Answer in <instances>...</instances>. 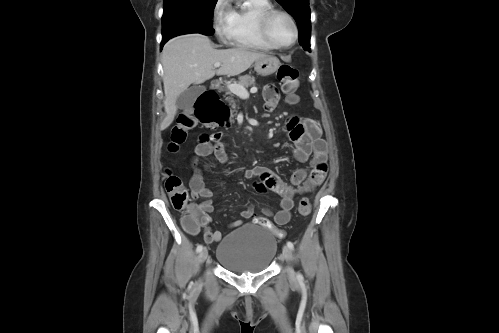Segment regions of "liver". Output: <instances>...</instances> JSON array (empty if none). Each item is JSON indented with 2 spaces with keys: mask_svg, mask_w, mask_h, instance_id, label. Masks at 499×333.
<instances>
[{
  "mask_svg": "<svg viewBox=\"0 0 499 333\" xmlns=\"http://www.w3.org/2000/svg\"><path fill=\"white\" fill-rule=\"evenodd\" d=\"M268 56L244 47L214 49L208 37L186 34L170 39L163 49V101L166 113L160 129L165 130L177 114L176 100L191 84H202L215 75L236 76L256 60ZM221 66L215 69L214 64Z\"/></svg>",
  "mask_w": 499,
  "mask_h": 333,
  "instance_id": "1",
  "label": "liver"
}]
</instances>
